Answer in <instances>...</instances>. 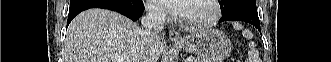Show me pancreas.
Returning <instances> with one entry per match:
<instances>
[{
    "label": "pancreas",
    "mask_w": 331,
    "mask_h": 62,
    "mask_svg": "<svg viewBox=\"0 0 331 62\" xmlns=\"http://www.w3.org/2000/svg\"><path fill=\"white\" fill-rule=\"evenodd\" d=\"M194 62H202V60H199L198 58H196V59L194 60Z\"/></svg>",
    "instance_id": "pancreas-1"
}]
</instances>
